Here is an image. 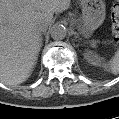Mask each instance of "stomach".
<instances>
[{
    "label": "stomach",
    "mask_w": 119,
    "mask_h": 119,
    "mask_svg": "<svg viewBox=\"0 0 119 119\" xmlns=\"http://www.w3.org/2000/svg\"><path fill=\"white\" fill-rule=\"evenodd\" d=\"M79 3L82 17L73 22L83 37H89L105 19V4L102 0H79Z\"/></svg>",
    "instance_id": "stomach-1"
}]
</instances>
